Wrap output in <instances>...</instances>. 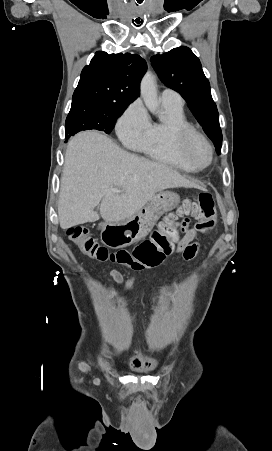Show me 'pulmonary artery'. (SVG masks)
Returning a JSON list of instances; mask_svg holds the SVG:
<instances>
[{"label": "pulmonary artery", "mask_w": 272, "mask_h": 451, "mask_svg": "<svg viewBox=\"0 0 272 451\" xmlns=\"http://www.w3.org/2000/svg\"><path fill=\"white\" fill-rule=\"evenodd\" d=\"M160 100L162 103L168 104L177 109H182L184 105L181 96L177 92L168 89L161 92Z\"/></svg>", "instance_id": "e3ab8cb5"}]
</instances>
